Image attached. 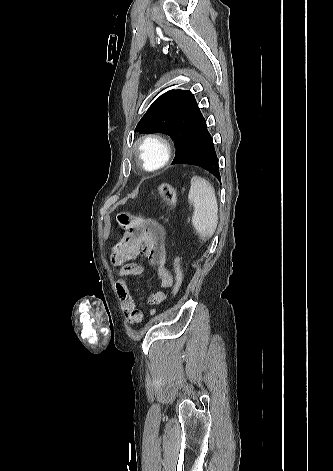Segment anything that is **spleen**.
Returning <instances> with one entry per match:
<instances>
[{
  "instance_id": "1",
  "label": "spleen",
  "mask_w": 333,
  "mask_h": 471,
  "mask_svg": "<svg viewBox=\"0 0 333 471\" xmlns=\"http://www.w3.org/2000/svg\"><path fill=\"white\" fill-rule=\"evenodd\" d=\"M188 200L194 206L192 224L205 239L213 236L218 224V204L213 186L205 179L194 176Z\"/></svg>"
}]
</instances>
